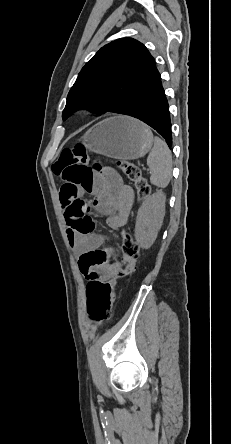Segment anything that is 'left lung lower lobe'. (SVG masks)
<instances>
[{"mask_svg":"<svg viewBox=\"0 0 231 444\" xmlns=\"http://www.w3.org/2000/svg\"><path fill=\"white\" fill-rule=\"evenodd\" d=\"M117 113L143 121L155 129L171 148L169 105L155 64Z\"/></svg>","mask_w":231,"mask_h":444,"instance_id":"left-lung-lower-lobe-1","label":"left lung lower lobe"}]
</instances>
